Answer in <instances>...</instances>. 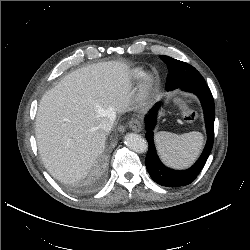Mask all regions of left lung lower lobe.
I'll list each match as a JSON object with an SVG mask.
<instances>
[{"instance_id": "1", "label": "left lung lower lobe", "mask_w": 250, "mask_h": 250, "mask_svg": "<svg viewBox=\"0 0 250 250\" xmlns=\"http://www.w3.org/2000/svg\"><path fill=\"white\" fill-rule=\"evenodd\" d=\"M185 67V72H191L190 65H182ZM181 90L188 91L196 94L204 110L205 125L207 131V142L205 148L195 162V164L186 170H173L166 167L159 159L153 140V129L156 124L157 111L161 106L158 102L145 116V129L146 140L148 141L149 148L145 159V164L151 178L158 184L166 187H180L190 184L200 173L205 165L207 158L212 150L214 142V119H215V106L213 96L207 84L204 82H195L178 87ZM175 88V89H178ZM173 89V90H175ZM172 91V90H169Z\"/></svg>"}]
</instances>
